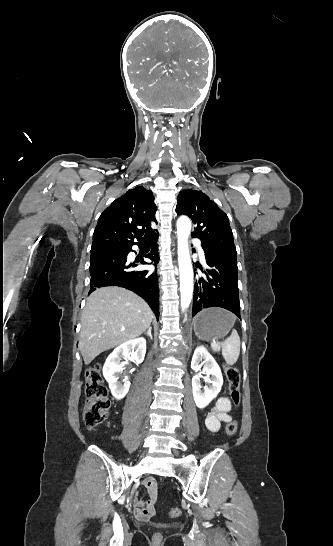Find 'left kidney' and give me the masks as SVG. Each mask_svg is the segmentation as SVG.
Segmentation results:
<instances>
[{
  "label": "left kidney",
  "mask_w": 333,
  "mask_h": 546,
  "mask_svg": "<svg viewBox=\"0 0 333 546\" xmlns=\"http://www.w3.org/2000/svg\"><path fill=\"white\" fill-rule=\"evenodd\" d=\"M202 365H204L202 372L206 375L204 381L209 383L210 387L205 388L204 392H202L201 375L196 374L192 378L193 397L198 408H205L217 396L223 385V377L219 365L203 346L195 349L191 368L197 372Z\"/></svg>",
  "instance_id": "1"
}]
</instances>
